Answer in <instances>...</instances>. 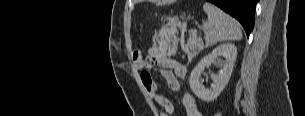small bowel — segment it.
I'll return each instance as SVG.
<instances>
[{
	"label": "small bowel",
	"instance_id": "small-bowel-1",
	"mask_svg": "<svg viewBox=\"0 0 305 116\" xmlns=\"http://www.w3.org/2000/svg\"><path fill=\"white\" fill-rule=\"evenodd\" d=\"M133 60L136 69L142 70V73L148 72V70L153 67H158L161 70V73L165 78L168 87L172 91L179 90V79H184L187 75V69L182 63L168 57L155 44L149 48V51L146 56H144L139 51H135L133 53ZM142 73L141 80L143 82L147 94L164 110V112L160 116L173 115L174 106L171 101L168 98L157 93V85L150 74L149 79H146L142 76ZM181 102L185 110L186 116H202L194 97L189 92H185L183 94Z\"/></svg>",
	"mask_w": 305,
	"mask_h": 116
}]
</instances>
